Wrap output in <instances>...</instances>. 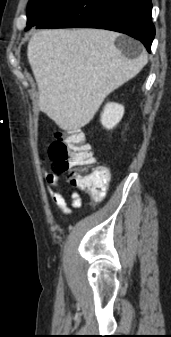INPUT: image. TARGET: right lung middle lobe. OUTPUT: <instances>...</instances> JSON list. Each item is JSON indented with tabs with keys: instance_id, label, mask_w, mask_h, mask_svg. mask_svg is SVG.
<instances>
[{
	"instance_id": "1",
	"label": "right lung middle lobe",
	"mask_w": 171,
	"mask_h": 337,
	"mask_svg": "<svg viewBox=\"0 0 171 337\" xmlns=\"http://www.w3.org/2000/svg\"><path fill=\"white\" fill-rule=\"evenodd\" d=\"M68 0H30L28 3L27 28L36 27L54 15Z\"/></svg>"
}]
</instances>
